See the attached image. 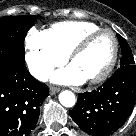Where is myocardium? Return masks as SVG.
<instances>
[{"mask_svg":"<svg viewBox=\"0 0 136 136\" xmlns=\"http://www.w3.org/2000/svg\"><path fill=\"white\" fill-rule=\"evenodd\" d=\"M105 33L109 34L113 39V44H114L113 54H112L110 62L108 63V65L105 67V69L101 73H99L98 75L94 77L86 79V82L90 84H97V83L104 81L105 79L109 77V75L114 70L117 64L118 56H119V41H118L116 34L112 30L107 29V28H100L98 30H95L85 35L72 48V50L68 54V61L71 64L75 60L76 57H78L82 52H84L87 49V47L96 37H98L101 34H105Z\"/></svg>","mask_w":136,"mask_h":136,"instance_id":"obj_1","label":"myocardium"}]
</instances>
